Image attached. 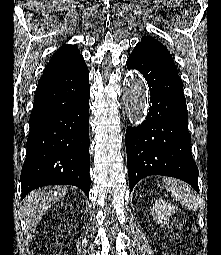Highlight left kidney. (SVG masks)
<instances>
[{"label": "left kidney", "instance_id": "obj_1", "mask_svg": "<svg viewBox=\"0 0 221 255\" xmlns=\"http://www.w3.org/2000/svg\"><path fill=\"white\" fill-rule=\"evenodd\" d=\"M175 207L168 204L165 200L157 199L152 208L153 218L158 224H167L169 222L170 216L174 213Z\"/></svg>", "mask_w": 221, "mask_h": 255}]
</instances>
